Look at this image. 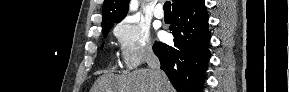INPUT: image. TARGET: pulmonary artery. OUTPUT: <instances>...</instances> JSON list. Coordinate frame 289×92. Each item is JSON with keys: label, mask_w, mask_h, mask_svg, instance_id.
Instances as JSON below:
<instances>
[{"label": "pulmonary artery", "mask_w": 289, "mask_h": 92, "mask_svg": "<svg viewBox=\"0 0 289 92\" xmlns=\"http://www.w3.org/2000/svg\"><path fill=\"white\" fill-rule=\"evenodd\" d=\"M154 16L158 19H162L164 17V13L160 4H158L154 9Z\"/></svg>", "instance_id": "e3ab8cb5"}]
</instances>
